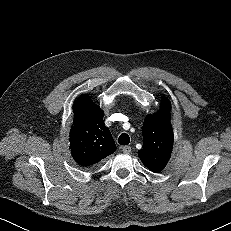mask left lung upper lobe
I'll list each match as a JSON object with an SVG mask.
<instances>
[{"label":"left lung upper lobe","mask_w":231,"mask_h":231,"mask_svg":"<svg viewBox=\"0 0 231 231\" xmlns=\"http://www.w3.org/2000/svg\"><path fill=\"white\" fill-rule=\"evenodd\" d=\"M170 110V101L163 98L160 111L148 114L143 123V148L138 151V156L142 163L155 173L165 168L172 152L174 135Z\"/></svg>","instance_id":"5c2ea615"}]
</instances>
